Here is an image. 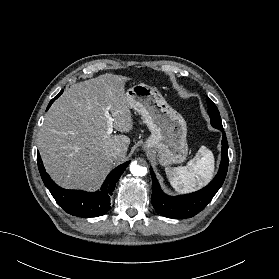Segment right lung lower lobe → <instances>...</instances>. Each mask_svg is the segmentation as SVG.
Instances as JSON below:
<instances>
[{
    "mask_svg": "<svg viewBox=\"0 0 279 279\" xmlns=\"http://www.w3.org/2000/svg\"><path fill=\"white\" fill-rule=\"evenodd\" d=\"M62 92L63 90L50 101L47 110ZM37 162L41 178L56 202L67 213L85 218L102 216L109 210L110 195H112L116 182L130 163V161H128L116 167L107 176L99 191L88 193L80 190H66L59 187L46 173L39 153L37 156Z\"/></svg>",
    "mask_w": 279,
    "mask_h": 279,
    "instance_id": "right-lung-lower-lobe-1",
    "label": "right lung lower lobe"
}]
</instances>
